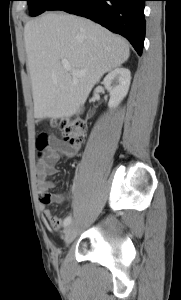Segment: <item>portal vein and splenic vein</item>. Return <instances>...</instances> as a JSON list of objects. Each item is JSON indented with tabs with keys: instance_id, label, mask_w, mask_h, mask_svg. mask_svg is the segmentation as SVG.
Masks as SVG:
<instances>
[{
	"instance_id": "18ae733b",
	"label": "portal vein and splenic vein",
	"mask_w": 181,
	"mask_h": 300,
	"mask_svg": "<svg viewBox=\"0 0 181 300\" xmlns=\"http://www.w3.org/2000/svg\"><path fill=\"white\" fill-rule=\"evenodd\" d=\"M62 65H63V67H64L65 70L71 71V73H72L73 76H82V75L85 74V72H83V71L72 70L68 61H62Z\"/></svg>"
}]
</instances>
